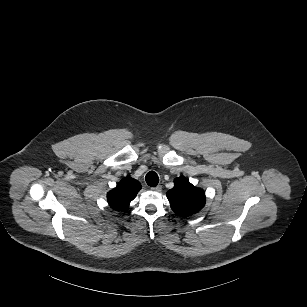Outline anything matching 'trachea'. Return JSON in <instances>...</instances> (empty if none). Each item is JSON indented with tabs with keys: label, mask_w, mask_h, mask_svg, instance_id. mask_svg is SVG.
Returning <instances> with one entry per match:
<instances>
[{
	"label": "trachea",
	"mask_w": 307,
	"mask_h": 307,
	"mask_svg": "<svg viewBox=\"0 0 307 307\" xmlns=\"http://www.w3.org/2000/svg\"><path fill=\"white\" fill-rule=\"evenodd\" d=\"M146 183L150 187H155L159 183V177L155 172H148L146 174Z\"/></svg>",
	"instance_id": "1"
}]
</instances>
